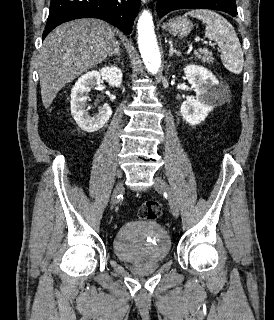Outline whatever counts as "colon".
Returning a JSON list of instances; mask_svg holds the SVG:
<instances>
[{
	"mask_svg": "<svg viewBox=\"0 0 274 320\" xmlns=\"http://www.w3.org/2000/svg\"><path fill=\"white\" fill-rule=\"evenodd\" d=\"M161 214V207L155 199H147L143 202V207L140 210V216L144 220H153Z\"/></svg>",
	"mask_w": 274,
	"mask_h": 320,
	"instance_id": "1",
	"label": "colon"
}]
</instances>
